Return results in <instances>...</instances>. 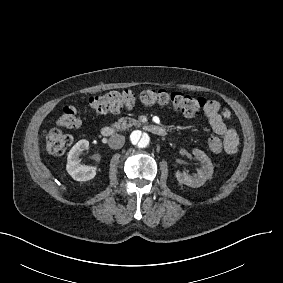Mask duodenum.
Listing matches in <instances>:
<instances>
[{
    "label": "duodenum",
    "mask_w": 283,
    "mask_h": 283,
    "mask_svg": "<svg viewBox=\"0 0 283 283\" xmlns=\"http://www.w3.org/2000/svg\"><path fill=\"white\" fill-rule=\"evenodd\" d=\"M143 129L156 136H165L167 134L165 128L153 124L144 125ZM100 133L103 137H111L117 133V128L115 126L107 125L101 128Z\"/></svg>",
    "instance_id": "1"
}]
</instances>
